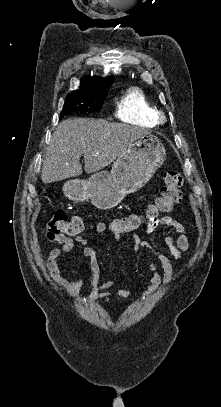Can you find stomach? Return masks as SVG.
Returning <instances> with one entry per match:
<instances>
[{
	"mask_svg": "<svg viewBox=\"0 0 221 407\" xmlns=\"http://www.w3.org/2000/svg\"><path fill=\"white\" fill-rule=\"evenodd\" d=\"M166 150L155 135L145 134L133 141L112 165L110 172L99 171L88 180L72 179L63 186L75 202L90 200L101 210L117 206L127 194L141 189L163 164Z\"/></svg>",
	"mask_w": 221,
	"mask_h": 407,
	"instance_id": "stomach-1",
	"label": "stomach"
}]
</instances>
